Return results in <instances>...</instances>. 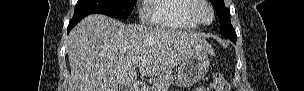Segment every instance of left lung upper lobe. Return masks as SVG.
Wrapping results in <instances>:
<instances>
[{
  "mask_svg": "<svg viewBox=\"0 0 304 91\" xmlns=\"http://www.w3.org/2000/svg\"><path fill=\"white\" fill-rule=\"evenodd\" d=\"M216 13L219 16L221 34L231 41L237 40L236 32L230 21V10L225 7L224 0H210Z\"/></svg>",
  "mask_w": 304,
  "mask_h": 91,
  "instance_id": "left-lung-upper-lobe-1",
  "label": "left lung upper lobe"
}]
</instances>
